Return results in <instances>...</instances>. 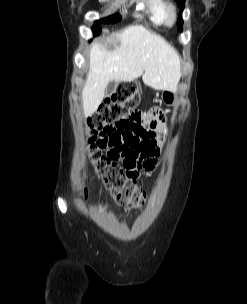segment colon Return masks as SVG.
Here are the masks:
<instances>
[{
	"instance_id": "5ec220e1",
	"label": "colon",
	"mask_w": 247,
	"mask_h": 304,
	"mask_svg": "<svg viewBox=\"0 0 247 304\" xmlns=\"http://www.w3.org/2000/svg\"><path fill=\"white\" fill-rule=\"evenodd\" d=\"M138 99L133 89L127 83H120L113 94L104 102L101 108L88 119V160L106 188L122 205L138 208L144 205L147 194L138 187L121 165L109 162L102 153L106 148L101 136L114 129V122L125 120H159V119H126V112H137L135 106Z\"/></svg>"
}]
</instances>
